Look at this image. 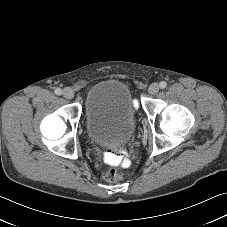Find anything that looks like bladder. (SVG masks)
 <instances>
[{
    "label": "bladder",
    "instance_id": "bladder-1",
    "mask_svg": "<svg viewBox=\"0 0 227 227\" xmlns=\"http://www.w3.org/2000/svg\"><path fill=\"white\" fill-rule=\"evenodd\" d=\"M86 132L91 141L108 148L128 144L136 130V108L130 89L106 81L89 90L85 100Z\"/></svg>",
    "mask_w": 227,
    "mask_h": 227
}]
</instances>
